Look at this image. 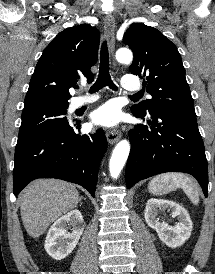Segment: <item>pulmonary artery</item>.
<instances>
[{
    "label": "pulmonary artery",
    "mask_w": 215,
    "mask_h": 274,
    "mask_svg": "<svg viewBox=\"0 0 215 274\" xmlns=\"http://www.w3.org/2000/svg\"><path fill=\"white\" fill-rule=\"evenodd\" d=\"M122 87L127 91H138L140 89V83L132 76H124L122 78ZM98 99V96H79L72 99L70 108L75 110L86 104H90Z\"/></svg>",
    "instance_id": "obj_1"
}]
</instances>
